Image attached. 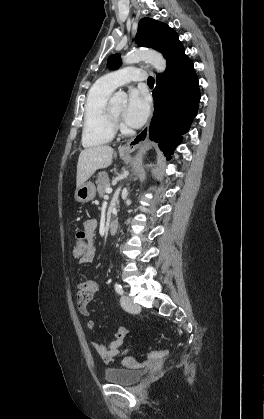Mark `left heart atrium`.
<instances>
[{"label": "left heart atrium", "mask_w": 264, "mask_h": 419, "mask_svg": "<svg viewBox=\"0 0 264 419\" xmlns=\"http://www.w3.org/2000/svg\"><path fill=\"white\" fill-rule=\"evenodd\" d=\"M149 110L150 102L147 94L140 89H131L124 112L126 121L134 127L141 126L146 121Z\"/></svg>", "instance_id": "left-heart-atrium-1"}]
</instances>
